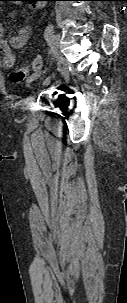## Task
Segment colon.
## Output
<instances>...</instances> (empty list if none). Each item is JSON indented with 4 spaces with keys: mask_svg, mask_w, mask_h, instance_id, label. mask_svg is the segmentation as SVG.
<instances>
[{
    "mask_svg": "<svg viewBox=\"0 0 127 303\" xmlns=\"http://www.w3.org/2000/svg\"><path fill=\"white\" fill-rule=\"evenodd\" d=\"M42 65V60L40 56H36L33 61H32V67L34 70H39L41 68ZM29 73V67L28 66H24L23 68L17 70V71H13L10 74V80L13 83H19L21 82Z\"/></svg>",
    "mask_w": 127,
    "mask_h": 303,
    "instance_id": "5ec220e1",
    "label": "colon"
}]
</instances>
